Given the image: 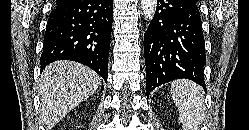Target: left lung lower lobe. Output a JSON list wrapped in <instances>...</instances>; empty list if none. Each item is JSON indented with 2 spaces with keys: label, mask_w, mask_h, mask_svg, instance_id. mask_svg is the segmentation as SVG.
<instances>
[{
  "label": "left lung lower lobe",
  "mask_w": 249,
  "mask_h": 130,
  "mask_svg": "<svg viewBox=\"0 0 249 130\" xmlns=\"http://www.w3.org/2000/svg\"><path fill=\"white\" fill-rule=\"evenodd\" d=\"M147 96L175 79H190L205 89V42L199 6L193 0H157L144 35Z\"/></svg>",
  "instance_id": "1"
}]
</instances>
